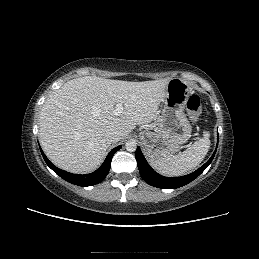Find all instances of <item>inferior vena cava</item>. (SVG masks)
Here are the masks:
<instances>
[{
    "label": "inferior vena cava",
    "mask_w": 259,
    "mask_h": 259,
    "mask_svg": "<svg viewBox=\"0 0 259 259\" xmlns=\"http://www.w3.org/2000/svg\"><path fill=\"white\" fill-rule=\"evenodd\" d=\"M106 138L110 143H115L121 139V133L117 130H110L107 132Z\"/></svg>",
    "instance_id": "1"
}]
</instances>
